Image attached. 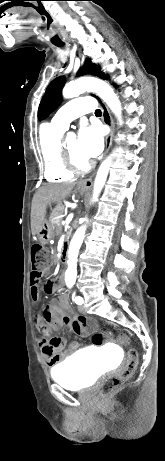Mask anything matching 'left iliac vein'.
Returning a JSON list of instances; mask_svg holds the SVG:
<instances>
[{
	"mask_svg": "<svg viewBox=\"0 0 165 461\" xmlns=\"http://www.w3.org/2000/svg\"><path fill=\"white\" fill-rule=\"evenodd\" d=\"M78 309L81 313H86V307L84 305H80Z\"/></svg>",
	"mask_w": 165,
	"mask_h": 461,
	"instance_id": "obj_1",
	"label": "left iliac vein"
}]
</instances>
